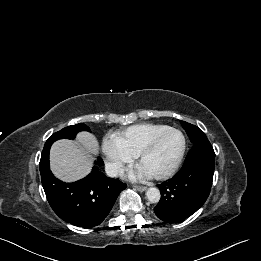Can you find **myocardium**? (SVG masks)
Listing matches in <instances>:
<instances>
[{
	"instance_id": "myocardium-1",
	"label": "myocardium",
	"mask_w": 261,
	"mask_h": 261,
	"mask_svg": "<svg viewBox=\"0 0 261 261\" xmlns=\"http://www.w3.org/2000/svg\"><path fill=\"white\" fill-rule=\"evenodd\" d=\"M169 132L176 133V134H178L180 136V138H181V147H180V150L178 152V155H177L175 161L173 162V164L167 170H165L162 173L152 175L155 179H158V180L169 178L180 167V165H181V163L183 161L184 155H185V151H186V139H185V136L183 135V133L179 129H176V128H173V127H168L166 129L158 132L156 135H154L137 155V160H138V163L140 164L141 161L149 153L152 152V150L155 148L156 144L161 139V137L163 135H165L166 133H169Z\"/></svg>"
}]
</instances>
